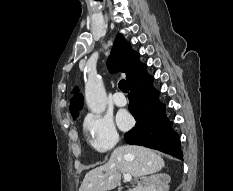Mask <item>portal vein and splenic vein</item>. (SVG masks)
Masks as SVG:
<instances>
[{
  "label": "portal vein and splenic vein",
  "mask_w": 233,
  "mask_h": 191,
  "mask_svg": "<svg viewBox=\"0 0 233 191\" xmlns=\"http://www.w3.org/2000/svg\"><path fill=\"white\" fill-rule=\"evenodd\" d=\"M132 180V176L129 173L124 174V181L130 182Z\"/></svg>",
  "instance_id": "obj_1"
}]
</instances>
